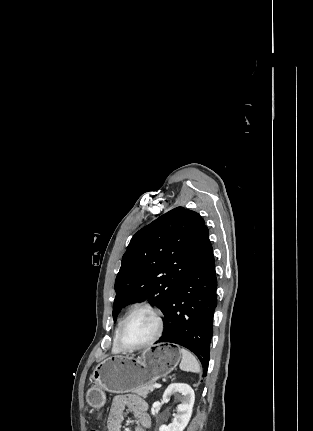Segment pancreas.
Returning <instances> with one entry per match:
<instances>
[{
    "mask_svg": "<svg viewBox=\"0 0 313 431\" xmlns=\"http://www.w3.org/2000/svg\"><path fill=\"white\" fill-rule=\"evenodd\" d=\"M154 390V387L152 384H146L142 387L136 388L133 392L138 394L139 396L146 398L147 395Z\"/></svg>",
    "mask_w": 313,
    "mask_h": 431,
    "instance_id": "pancreas-1",
    "label": "pancreas"
}]
</instances>
